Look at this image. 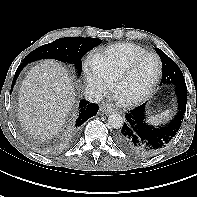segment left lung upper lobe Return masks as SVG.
I'll return each mask as SVG.
<instances>
[{"label": "left lung upper lobe", "mask_w": 197, "mask_h": 197, "mask_svg": "<svg viewBox=\"0 0 197 197\" xmlns=\"http://www.w3.org/2000/svg\"><path fill=\"white\" fill-rule=\"evenodd\" d=\"M156 51L162 61V83L175 86L186 85L183 74L177 64L159 48H156Z\"/></svg>", "instance_id": "1"}]
</instances>
